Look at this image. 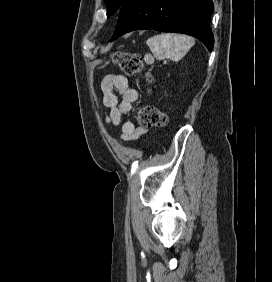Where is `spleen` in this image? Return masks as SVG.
Returning <instances> with one entry per match:
<instances>
[{
    "label": "spleen",
    "mask_w": 272,
    "mask_h": 282,
    "mask_svg": "<svg viewBox=\"0 0 272 282\" xmlns=\"http://www.w3.org/2000/svg\"><path fill=\"white\" fill-rule=\"evenodd\" d=\"M195 44L193 38L178 34H160L147 40V45L157 59H182Z\"/></svg>",
    "instance_id": "3e777b00"
}]
</instances>
